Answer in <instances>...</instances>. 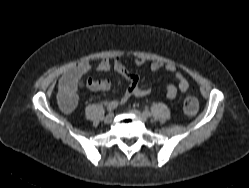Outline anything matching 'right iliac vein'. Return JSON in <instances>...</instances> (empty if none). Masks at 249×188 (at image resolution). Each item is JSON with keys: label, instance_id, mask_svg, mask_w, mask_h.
Segmentation results:
<instances>
[{"label": "right iliac vein", "instance_id": "obj_1", "mask_svg": "<svg viewBox=\"0 0 249 188\" xmlns=\"http://www.w3.org/2000/svg\"><path fill=\"white\" fill-rule=\"evenodd\" d=\"M113 118H114V114H113V113H109V114L105 117L104 123H106V124L111 123L112 120H113Z\"/></svg>", "mask_w": 249, "mask_h": 188}]
</instances>
